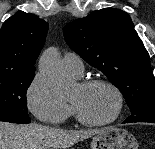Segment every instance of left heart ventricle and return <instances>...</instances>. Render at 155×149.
<instances>
[{
  "label": "left heart ventricle",
  "instance_id": "1",
  "mask_svg": "<svg viewBox=\"0 0 155 149\" xmlns=\"http://www.w3.org/2000/svg\"><path fill=\"white\" fill-rule=\"evenodd\" d=\"M70 103L80 113L92 121H104L110 118L116 107V99L110 89L105 86L82 88L78 85L73 91Z\"/></svg>",
  "mask_w": 155,
  "mask_h": 149
}]
</instances>
